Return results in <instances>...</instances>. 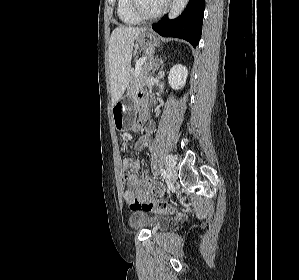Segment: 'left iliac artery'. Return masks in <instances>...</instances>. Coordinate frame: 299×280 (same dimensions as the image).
Instances as JSON below:
<instances>
[{"label":"left iliac artery","mask_w":299,"mask_h":280,"mask_svg":"<svg viewBox=\"0 0 299 280\" xmlns=\"http://www.w3.org/2000/svg\"><path fill=\"white\" fill-rule=\"evenodd\" d=\"M175 157L173 155H168L166 158V165L168 167V169H171L172 167L175 166Z\"/></svg>","instance_id":"obj_1"}]
</instances>
